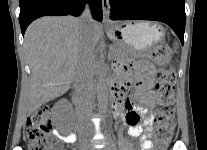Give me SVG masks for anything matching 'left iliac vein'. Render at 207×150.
Here are the masks:
<instances>
[{
  "instance_id": "left-iliac-vein-1",
  "label": "left iliac vein",
  "mask_w": 207,
  "mask_h": 150,
  "mask_svg": "<svg viewBox=\"0 0 207 150\" xmlns=\"http://www.w3.org/2000/svg\"><path fill=\"white\" fill-rule=\"evenodd\" d=\"M91 150V149H88ZM103 150H117L113 143H109Z\"/></svg>"
}]
</instances>
